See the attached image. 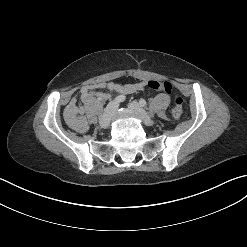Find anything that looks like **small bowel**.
Returning <instances> with one entry per match:
<instances>
[{
    "instance_id": "c3829d8e",
    "label": "small bowel",
    "mask_w": 247,
    "mask_h": 247,
    "mask_svg": "<svg viewBox=\"0 0 247 247\" xmlns=\"http://www.w3.org/2000/svg\"><path fill=\"white\" fill-rule=\"evenodd\" d=\"M146 85L147 83L144 81L127 85H119L112 82H101L82 87L79 90L78 98L81 102L86 103L90 101L94 96H97L100 99L107 98V94L101 92V89H107L108 91H115L118 93L125 94L143 90L146 87ZM78 98L74 97L68 103L65 109V120L70 128L80 133H84L88 130L89 125L87 118L85 117V109L79 103Z\"/></svg>"
}]
</instances>
